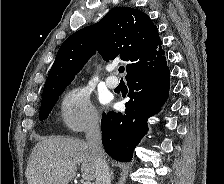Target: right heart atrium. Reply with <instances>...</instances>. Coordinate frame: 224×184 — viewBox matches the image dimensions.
<instances>
[{"label":"right heart atrium","instance_id":"right-heart-atrium-1","mask_svg":"<svg viewBox=\"0 0 224 184\" xmlns=\"http://www.w3.org/2000/svg\"><path fill=\"white\" fill-rule=\"evenodd\" d=\"M60 115L64 125L73 131H86L99 125V116L89 92L78 86L65 93L61 100Z\"/></svg>","mask_w":224,"mask_h":184}]
</instances>
